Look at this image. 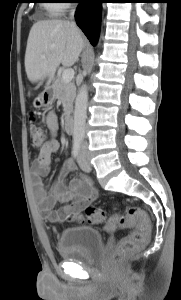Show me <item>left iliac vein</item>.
<instances>
[{"mask_svg":"<svg viewBox=\"0 0 181 300\" xmlns=\"http://www.w3.org/2000/svg\"><path fill=\"white\" fill-rule=\"evenodd\" d=\"M78 164L80 168L85 172L91 171V164L89 163L86 152L84 149H81L79 157H78Z\"/></svg>","mask_w":181,"mask_h":300,"instance_id":"4c4485c4","label":"left iliac vein"}]
</instances>
